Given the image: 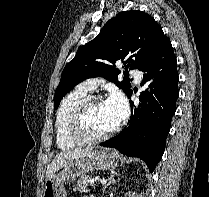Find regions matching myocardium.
I'll return each mask as SVG.
<instances>
[{"label":"myocardium","mask_w":209,"mask_h":197,"mask_svg":"<svg viewBox=\"0 0 209 197\" xmlns=\"http://www.w3.org/2000/svg\"><path fill=\"white\" fill-rule=\"evenodd\" d=\"M103 100L100 95H90L84 99L70 114L67 123L69 138L78 144H92L107 139L116 131V126L100 135H90L85 130V116L88 109Z\"/></svg>","instance_id":"obj_1"}]
</instances>
